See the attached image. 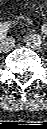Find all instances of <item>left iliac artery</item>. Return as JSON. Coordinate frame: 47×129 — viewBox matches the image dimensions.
Instances as JSON below:
<instances>
[{
    "label": "left iliac artery",
    "instance_id": "obj_1",
    "mask_svg": "<svg viewBox=\"0 0 47 129\" xmlns=\"http://www.w3.org/2000/svg\"><path fill=\"white\" fill-rule=\"evenodd\" d=\"M42 32H43V33H46V29L44 28V29L42 30Z\"/></svg>",
    "mask_w": 47,
    "mask_h": 129
}]
</instances>
